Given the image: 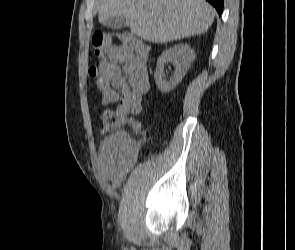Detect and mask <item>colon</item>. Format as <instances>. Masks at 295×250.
Wrapping results in <instances>:
<instances>
[{
  "label": "colon",
  "instance_id": "1",
  "mask_svg": "<svg viewBox=\"0 0 295 250\" xmlns=\"http://www.w3.org/2000/svg\"><path fill=\"white\" fill-rule=\"evenodd\" d=\"M119 38L123 45L128 48L132 54H141L146 52V46L139 38L128 34H121ZM116 46L113 43V34L108 32L98 31L92 37V48L95 56L100 60L98 66L89 68V75H100L108 70L110 57ZM140 110L132 106H118L116 109H107L100 115L102 130L118 128L123 125H129L133 128L138 127V124L131 120L130 115L139 113Z\"/></svg>",
  "mask_w": 295,
  "mask_h": 250
}]
</instances>
